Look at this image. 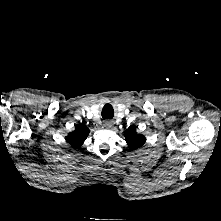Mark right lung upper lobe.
Instances as JSON below:
<instances>
[{"instance_id": "right-lung-upper-lobe-1", "label": "right lung upper lobe", "mask_w": 221, "mask_h": 221, "mask_svg": "<svg viewBox=\"0 0 221 221\" xmlns=\"http://www.w3.org/2000/svg\"><path fill=\"white\" fill-rule=\"evenodd\" d=\"M88 134H89L88 127L84 125L83 123H81L76 126L74 132L70 133L66 137V141L72 146L78 148L83 144Z\"/></svg>"}]
</instances>
